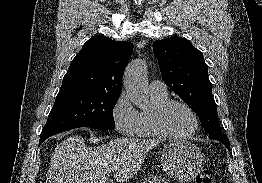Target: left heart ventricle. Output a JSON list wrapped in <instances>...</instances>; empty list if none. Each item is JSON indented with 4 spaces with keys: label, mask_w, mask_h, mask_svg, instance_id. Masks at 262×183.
Instances as JSON below:
<instances>
[{
    "label": "left heart ventricle",
    "mask_w": 262,
    "mask_h": 183,
    "mask_svg": "<svg viewBox=\"0 0 262 183\" xmlns=\"http://www.w3.org/2000/svg\"><path fill=\"white\" fill-rule=\"evenodd\" d=\"M166 129L173 134H184L194 126L191 113L181 105H173L164 118Z\"/></svg>",
    "instance_id": "left-heart-ventricle-1"
}]
</instances>
